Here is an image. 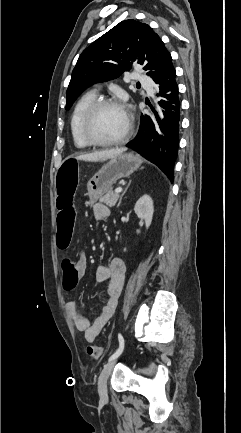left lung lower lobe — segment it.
<instances>
[{
  "label": "left lung lower lobe",
  "instance_id": "1",
  "mask_svg": "<svg viewBox=\"0 0 241 433\" xmlns=\"http://www.w3.org/2000/svg\"><path fill=\"white\" fill-rule=\"evenodd\" d=\"M176 71L171 64L156 81L158 105L153 115H141L137 136L126 146L136 150L156 164L173 181V167L177 158L180 127V100Z\"/></svg>",
  "mask_w": 241,
  "mask_h": 433
}]
</instances>
